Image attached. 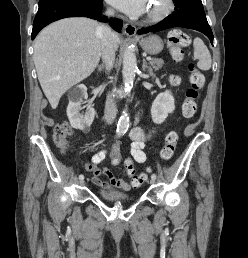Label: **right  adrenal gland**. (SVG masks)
I'll return each mask as SVG.
<instances>
[{
    "mask_svg": "<svg viewBox=\"0 0 248 258\" xmlns=\"http://www.w3.org/2000/svg\"><path fill=\"white\" fill-rule=\"evenodd\" d=\"M105 70V66L104 64H101L98 66V71L101 72V71H104Z\"/></svg>",
    "mask_w": 248,
    "mask_h": 258,
    "instance_id": "obj_1",
    "label": "right adrenal gland"
}]
</instances>
